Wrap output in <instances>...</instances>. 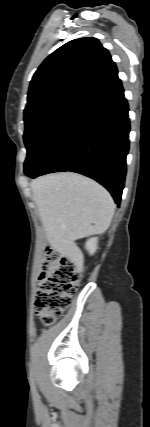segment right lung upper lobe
Here are the masks:
<instances>
[{"label": "right lung upper lobe", "instance_id": "obj_1", "mask_svg": "<svg viewBox=\"0 0 150 427\" xmlns=\"http://www.w3.org/2000/svg\"><path fill=\"white\" fill-rule=\"evenodd\" d=\"M119 81L116 65L96 38L72 40L35 72L24 114L55 104L81 107Z\"/></svg>", "mask_w": 150, "mask_h": 427}]
</instances>
